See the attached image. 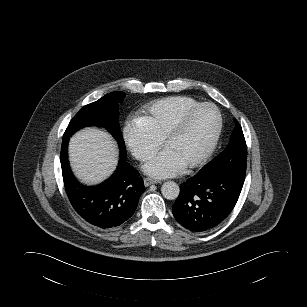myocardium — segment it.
Instances as JSON below:
<instances>
[{"label": "myocardium", "mask_w": 307, "mask_h": 307, "mask_svg": "<svg viewBox=\"0 0 307 307\" xmlns=\"http://www.w3.org/2000/svg\"><path fill=\"white\" fill-rule=\"evenodd\" d=\"M204 108L211 109L215 112L217 116V126L211 140L209 141L208 145L203 150V152L199 156H197L194 160L188 162L185 165V167L188 169L196 168L202 165L204 162L207 161V159L213 154V152L216 149L223 128V117L218 107H216L212 103H207V102L197 103L189 107L180 115L177 121L169 128V130L164 134L162 138V143L163 145H165L170 139L179 135L183 131L189 118L195 111Z\"/></svg>", "instance_id": "myocardium-1"}]
</instances>
